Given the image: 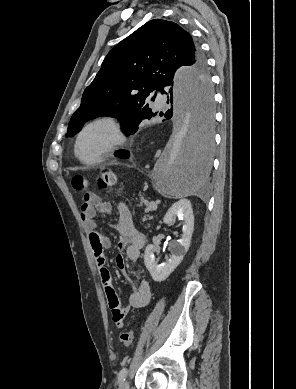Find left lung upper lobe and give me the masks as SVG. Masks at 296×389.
I'll list each match as a JSON object with an SVG mask.
<instances>
[{"label": "left lung upper lobe", "mask_w": 296, "mask_h": 389, "mask_svg": "<svg viewBox=\"0 0 296 389\" xmlns=\"http://www.w3.org/2000/svg\"><path fill=\"white\" fill-rule=\"evenodd\" d=\"M182 65L191 67L193 85L197 80L199 89L211 87L205 59L190 34L171 21L147 22L107 54L71 117L66 137L74 136L86 121L99 116L121 119L122 131L134 134L143 119L155 115L147 104L150 93L172 82Z\"/></svg>", "instance_id": "left-lung-upper-lobe-1"}]
</instances>
